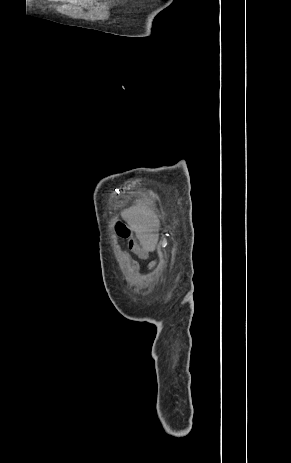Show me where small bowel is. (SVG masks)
Returning <instances> with one entry per match:
<instances>
[{
    "instance_id": "1",
    "label": "small bowel",
    "mask_w": 291,
    "mask_h": 463,
    "mask_svg": "<svg viewBox=\"0 0 291 463\" xmlns=\"http://www.w3.org/2000/svg\"><path fill=\"white\" fill-rule=\"evenodd\" d=\"M121 238L128 241V246H129V248H130L131 251H132L133 253H135L139 258H141V259H146V258L148 257L149 248H148L147 246L140 245V244L138 243V241H137L135 238H132V237L130 236V233H128L126 236H122ZM129 261H130L131 266H132L135 270L138 271L139 268H140L138 262H137L136 260H134L133 258H130Z\"/></svg>"
}]
</instances>
